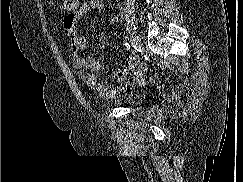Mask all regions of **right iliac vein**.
I'll return each instance as SVG.
<instances>
[{"instance_id": "obj_1", "label": "right iliac vein", "mask_w": 243, "mask_h": 182, "mask_svg": "<svg viewBox=\"0 0 243 182\" xmlns=\"http://www.w3.org/2000/svg\"><path fill=\"white\" fill-rule=\"evenodd\" d=\"M131 43L134 46H140V39L138 36H131Z\"/></svg>"}]
</instances>
